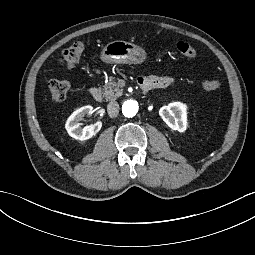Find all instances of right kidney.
<instances>
[{
	"mask_svg": "<svg viewBox=\"0 0 255 255\" xmlns=\"http://www.w3.org/2000/svg\"><path fill=\"white\" fill-rule=\"evenodd\" d=\"M93 113L92 106H85L74 111L68 118L65 128L68 134L80 141L88 140L95 136L101 128V123L92 124L82 129V125L79 123L82 118L87 114Z\"/></svg>",
	"mask_w": 255,
	"mask_h": 255,
	"instance_id": "1",
	"label": "right kidney"
}]
</instances>
